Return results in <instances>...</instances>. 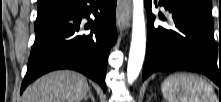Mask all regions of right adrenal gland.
Instances as JSON below:
<instances>
[{
    "label": "right adrenal gland",
    "mask_w": 221,
    "mask_h": 102,
    "mask_svg": "<svg viewBox=\"0 0 221 102\" xmlns=\"http://www.w3.org/2000/svg\"><path fill=\"white\" fill-rule=\"evenodd\" d=\"M88 98H90L92 102H95V99L90 89L88 90V95L84 99L87 100Z\"/></svg>",
    "instance_id": "2a0ac1e0"
}]
</instances>
